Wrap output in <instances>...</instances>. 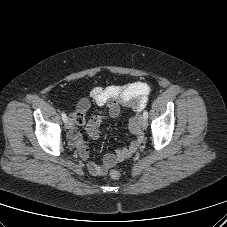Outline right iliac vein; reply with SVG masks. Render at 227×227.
<instances>
[{
    "label": "right iliac vein",
    "instance_id": "right-iliac-vein-1",
    "mask_svg": "<svg viewBox=\"0 0 227 227\" xmlns=\"http://www.w3.org/2000/svg\"><path fill=\"white\" fill-rule=\"evenodd\" d=\"M73 126H74V124H73L72 120L71 119H67V121L65 122V127L67 129H71V128H73Z\"/></svg>",
    "mask_w": 227,
    "mask_h": 227
}]
</instances>
